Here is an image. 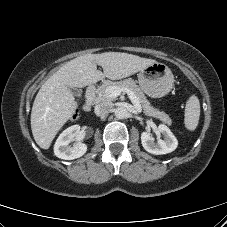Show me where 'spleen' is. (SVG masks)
Returning a JSON list of instances; mask_svg holds the SVG:
<instances>
[{"label":"spleen","instance_id":"obj_1","mask_svg":"<svg viewBox=\"0 0 227 227\" xmlns=\"http://www.w3.org/2000/svg\"><path fill=\"white\" fill-rule=\"evenodd\" d=\"M200 117V102L196 95H191L187 100L185 107V127L194 131L198 125Z\"/></svg>","mask_w":227,"mask_h":227}]
</instances>
